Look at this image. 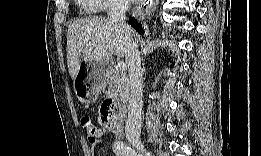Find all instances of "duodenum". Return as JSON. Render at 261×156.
Listing matches in <instances>:
<instances>
[{
    "mask_svg": "<svg viewBox=\"0 0 261 156\" xmlns=\"http://www.w3.org/2000/svg\"><path fill=\"white\" fill-rule=\"evenodd\" d=\"M105 102L111 104L113 107H119L122 110L125 109L124 101H122L116 97H108Z\"/></svg>",
    "mask_w": 261,
    "mask_h": 156,
    "instance_id": "410a0bca",
    "label": "duodenum"
}]
</instances>
